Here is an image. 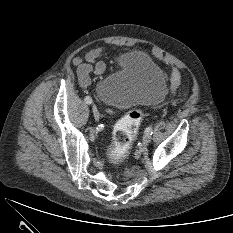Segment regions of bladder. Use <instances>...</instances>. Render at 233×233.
I'll return each instance as SVG.
<instances>
[{
    "label": "bladder",
    "instance_id": "1",
    "mask_svg": "<svg viewBox=\"0 0 233 233\" xmlns=\"http://www.w3.org/2000/svg\"><path fill=\"white\" fill-rule=\"evenodd\" d=\"M163 70L144 52L125 54L119 69L101 80L98 98L108 107L123 111L160 103L167 94Z\"/></svg>",
    "mask_w": 233,
    "mask_h": 233
}]
</instances>
